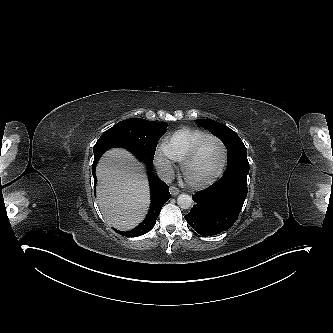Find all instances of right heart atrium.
<instances>
[{
  "label": "right heart atrium",
  "instance_id": "obj_1",
  "mask_svg": "<svg viewBox=\"0 0 333 333\" xmlns=\"http://www.w3.org/2000/svg\"><path fill=\"white\" fill-rule=\"evenodd\" d=\"M173 160L165 145H160L157 148L155 153V165L159 170L164 173L170 172L173 167Z\"/></svg>",
  "mask_w": 333,
  "mask_h": 333
}]
</instances>
